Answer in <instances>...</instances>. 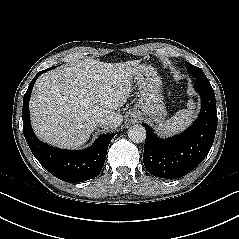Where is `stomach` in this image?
<instances>
[{"instance_id":"stomach-1","label":"stomach","mask_w":239,"mask_h":239,"mask_svg":"<svg viewBox=\"0 0 239 239\" xmlns=\"http://www.w3.org/2000/svg\"><path fill=\"white\" fill-rule=\"evenodd\" d=\"M134 82L139 89V99L130 111V117H150L160 123L167 114L162 96V81L154 68L147 65L139 66L134 76Z\"/></svg>"}]
</instances>
